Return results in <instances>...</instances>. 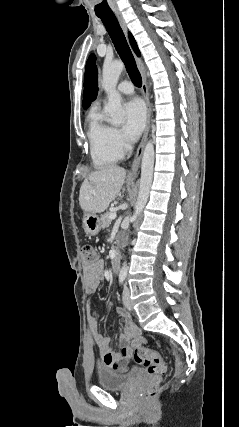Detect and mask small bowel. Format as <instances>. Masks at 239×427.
I'll return each instance as SVG.
<instances>
[{
  "instance_id": "c3829d8e",
  "label": "small bowel",
  "mask_w": 239,
  "mask_h": 427,
  "mask_svg": "<svg viewBox=\"0 0 239 427\" xmlns=\"http://www.w3.org/2000/svg\"><path fill=\"white\" fill-rule=\"evenodd\" d=\"M104 262L101 259L96 260L92 265L84 267V274L88 289L95 292L103 278ZM97 308L94 307V310ZM118 314L124 319L125 326L120 335V342L127 345L129 350L140 347L145 341L141 336V330L136 326L130 317L129 312L124 308L117 309ZM93 340L99 349L103 365L114 371H125L127 369V356L116 353L111 347V339L99 331V321L92 315L90 318Z\"/></svg>"
}]
</instances>
